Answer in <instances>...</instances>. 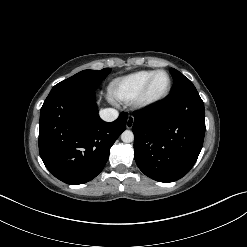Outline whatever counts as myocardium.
<instances>
[{"mask_svg": "<svg viewBox=\"0 0 247 247\" xmlns=\"http://www.w3.org/2000/svg\"><path fill=\"white\" fill-rule=\"evenodd\" d=\"M160 74H164L167 77V86L162 93L158 95H153L152 86L155 81V78ZM171 86H172V80L168 72H166L165 70L155 71L153 75L149 78L147 83L145 84L140 95L136 98L135 100L136 106L140 108H145L159 103L160 101H162L164 98L167 97V95L171 90Z\"/></svg>", "mask_w": 247, "mask_h": 247, "instance_id": "f54148a6", "label": "myocardium"}]
</instances>
